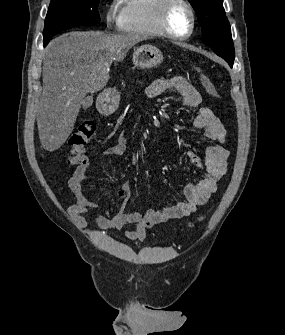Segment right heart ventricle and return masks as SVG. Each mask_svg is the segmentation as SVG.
I'll list each match as a JSON object with an SVG mask.
<instances>
[{"instance_id": "e07e8e85", "label": "right heart ventricle", "mask_w": 285, "mask_h": 335, "mask_svg": "<svg viewBox=\"0 0 285 335\" xmlns=\"http://www.w3.org/2000/svg\"><path fill=\"white\" fill-rule=\"evenodd\" d=\"M164 1H132L134 10L128 26L142 39L168 38L160 23V13Z\"/></svg>"}]
</instances>
